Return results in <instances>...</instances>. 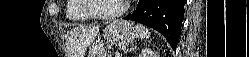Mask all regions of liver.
Wrapping results in <instances>:
<instances>
[{
	"label": "liver",
	"mask_w": 249,
	"mask_h": 57,
	"mask_svg": "<svg viewBox=\"0 0 249 57\" xmlns=\"http://www.w3.org/2000/svg\"><path fill=\"white\" fill-rule=\"evenodd\" d=\"M99 33V27H77L68 34L69 49L74 57H84L87 47L91 45Z\"/></svg>",
	"instance_id": "6515ba94"
}]
</instances>
